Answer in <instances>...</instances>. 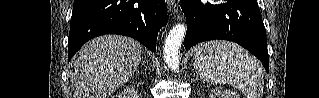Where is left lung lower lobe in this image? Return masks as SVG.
I'll use <instances>...</instances> for the list:
<instances>
[{"mask_svg": "<svg viewBox=\"0 0 319 98\" xmlns=\"http://www.w3.org/2000/svg\"><path fill=\"white\" fill-rule=\"evenodd\" d=\"M186 15L184 47L213 39L242 45L259 58L268 72L265 27L256 0H181Z\"/></svg>", "mask_w": 319, "mask_h": 98, "instance_id": "1", "label": "left lung lower lobe"}]
</instances>
